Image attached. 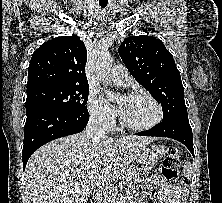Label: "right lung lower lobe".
<instances>
[{
    "instance_id": "1",
    "label": "right lung lower lobe",
    "mask_w": 222,
    "mask_h": 203,
    "mask_svg": "<svg viewBox=\"0 0 222 203\" xmlns=\"http://www.w3.org/2000/svg\"><path fill=\"white\" fill-rule=\"evenodd\" d=\"M88 120V111L44 108L28 113L22 151L24 169L30 156L39 147L51 140L83 131Z\"/></svg>"
}]
</instances>
